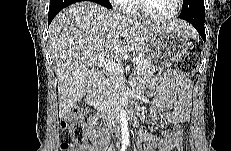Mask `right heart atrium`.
Returning <instances> with one entry per match:
<instances>
[{
  "label": "right heart atrium",
  "mask_w": 231,
  "mask_h": 151,
  "mask_svg": "<svg viewBox=\"0 0 231 151\" xmlns=\"http://www.w3.org/2000/svg\"><path fill=\"white\" fill-rule=\"evenodd\" d=\"M115 8L122 12L130 11V4L128 0H113L111 1Z\"/></svg>",
  "instance_id": "1"
}]
</instances>
